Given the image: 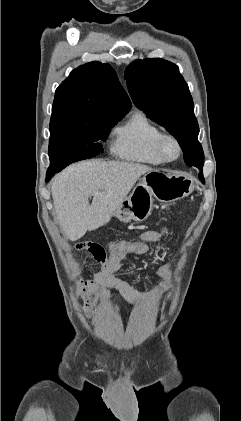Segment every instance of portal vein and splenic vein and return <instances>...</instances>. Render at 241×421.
<instances>
[{
    "instance_id": "1",
    "label": "portal vein and splenic vein",
    "mask_w": 241,
    "mask_h": 421,
    "mask_svg": "<svg viewBox=\"0 0 241 421\" xmlns=\"http://www.w3.org/2000/svg\"><path fill=\"white\" fill-rule=\"evenodd\" d=\"M94 194L98 195V194H101V193H98V192H94Z\"/></svg>"
}]
</instances>
